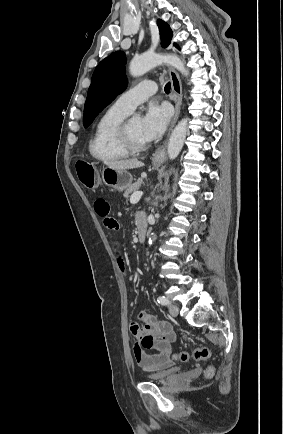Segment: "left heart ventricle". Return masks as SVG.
<instances>
[{
	"label": "left heart ventricle",
	"instance_id": "left-heart-ventricle-1",
	"mask_svg": "<svg viewBox=\"0 0 283 434\" xmlns=\"http://www.w3.org/2000/svg\"><path fill=\"white\" fill-rule=\"evenodd\" d=\"M141 122L142 119L139 117L131 118L129 123V130L132 137L138 142H145L141 135Z\"/></svg>",
	"mask_w": 283,
	"mask_h": 434
}]
</instances>
